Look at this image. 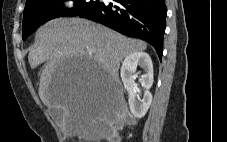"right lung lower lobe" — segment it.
<instances>
[{
	"label": "right lung lower lobe",
	"instance_id": "obj_1",
	"mask_svg": "<svg viewBox=\"0 0 227 142\" xmlns=\"http://www.w3.org/2000/svg\"><path fill=\"white\" fill-rule=\"evenodd\" d=\"M114 1L117 5L101 1L78 16L150 43L161 59L167 14L165 0Z\"/></svg>",
	"mask_w": 227,
	"mask_h": 142
}]
</instances>
